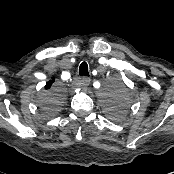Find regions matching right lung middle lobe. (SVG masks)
Listing matches in <instances>:
<instances>
[{
    "instance_id": "right-lung-middle-lobe-1",
    "label": "right lung middle lobe",
    "mask_w": 174,
    "mask_h": 174,
    "mask_svg": "<svg viewBox=\"0 0 174 174\" xmlns=\"http://www.w3.org/2000/svg\"><path fill=\"white\" fill-rule=\"evenodd\" d=\"M62 96L58 93H49L45 95L39 102L41 110L46 113H54L60 109L62 104Z\"/></svg>"
}]
</instances>
